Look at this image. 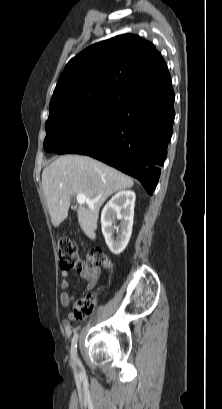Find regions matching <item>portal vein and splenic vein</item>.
<instances>
[{
	"label": "portal vein and splenic vein",
	"instance_id": "1",
	"mask_svg": "<svg viewBox=\"0 0 222 409\" xmlns=\"http://www.w3.org/2000/svg\"><path fill=\"white\" fill-rule=\"evenodd\" d=\"M76 198H77V202L79 204H85L86 203L88 205H92L95 202V200H91L86 195L81 194V193H78Z\"/></svg>",
	"mask_w": 222,
	"mask_h": 409
}]
</instances>
